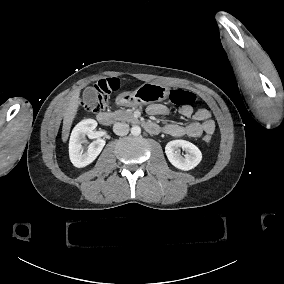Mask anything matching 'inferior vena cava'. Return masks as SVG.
Segmentation results:
<instances>
[{
    "label": "inferior vena cava",
    "mask_w": 284,
    "mask_h": 284,
    "mask_svg": "<svg viewBox=\"0 0 284 284\" xmlns=\"http://www.w3.org/2000/svg\"><path fill=\"white\" fill-rule=\"evenodd\" d=\"M113 131L116 135L124 136L129 132V125L122 122H117L113 126Z\"/></svg>",
    "instance_id": "obj_1"
}]
</instances>
